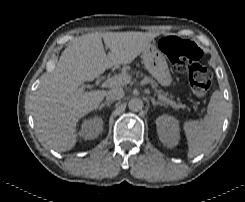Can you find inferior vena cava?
Returning a JSON list of instances; mask_svg holds the SVG:
<instances>
[{
    "label": "inferior vena cava",
    "mask_w": 245,
    "mask_h": 202,
    "mask_svg": "<svg viewBox=\"0 0 245 202\" xmlns=\"http://www.w3.org/2000/svg\"><path fill=\"white\" fill-rule=\"evenodd\" d=\"M107 101L119 100L124 96V90L122 88H114L106 92Z\"/></svg>",
    "instance_id": "1"
}]
</instances>
